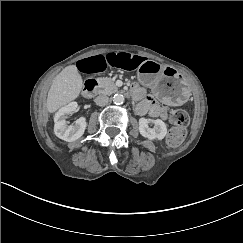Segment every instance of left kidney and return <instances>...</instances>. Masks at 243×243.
<instances>
[{
  "label": "left kidney",
  "mask_w": 243,
  "mask_h": 243,
  "mask_svg": "<svg viewBox=\"0 0 243 243\" xmlns=\"http://www.w3.org/2000/svg\"><path fill=\"white\" fill-rule=\"evenodd\" d=\"M149 122L154 123V127L150 128L148 126ZM138 129L140 134L151 141L162 140L167 135V125L161 119H150L145 117H140L138 120Z\"/></svg>",
  "instance_id": "obj_1"
}]
</instances>
